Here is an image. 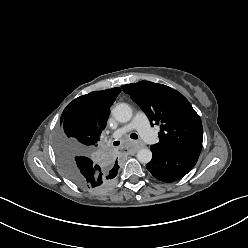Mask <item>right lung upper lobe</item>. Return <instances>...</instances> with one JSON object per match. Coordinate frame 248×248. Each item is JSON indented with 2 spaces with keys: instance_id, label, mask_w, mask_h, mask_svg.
<instances>
[{
  "instance_id": "obj_1",
  "label": "right lung upper lobe",
  "mask_w": 248,
  "mask_h": 248,
  "mask_svg": "<svg viewBox=\"0 0 248 248\" xmlns=\"http://www.w3.org/2000/svg\"><path fill=\"white\" fill-rule=\"evenodd\" d=\"M121 92L118 87L103 91H93L74 99L63 111L61 119L75 116L79 122L90 132L92 143L84 148L91 152L96 151L101 132L105 129L110 113V107ZM112 171L117 172L118 163H110Z\"/></svg>"
}]
</instances>
